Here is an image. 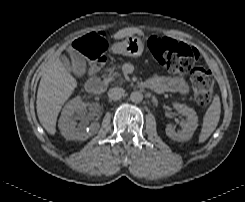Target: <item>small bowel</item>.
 I'll use <instances>...</instances> for the list:
<instances>
[{
	"instance_id": "c3829d8e",
	"label": "small bowel",
	"mask_w": 245,
	"mask_h": 202,
	"mask_svg": "<svg viewBox=\"0 0 245 202\" xmlns=\"http://www.w3.org/2000/svg\"><path fill=\"white\" fill-rule=\"evenodd\" d=\"M153 87V91L157 93L163 92H174L180 94H186L188 92V83L185 78L181 76H164L159 74H154L148 81ZM145 87V85L143 84Z\"/></svg>"
}]
</instances>
